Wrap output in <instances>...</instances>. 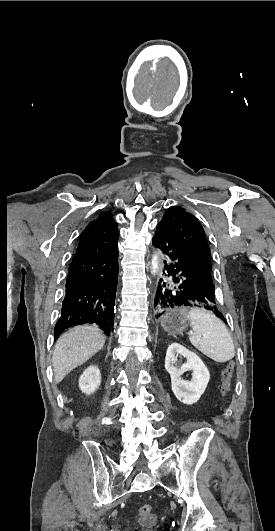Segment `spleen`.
Returning a JSON list of instances; mask_svg holds the SVG:
<instances>
[{
  "label": "spleen",
  "instance_id": "spleen-1",
  "mask_svg": "<svg viewBox=\"0 0 275 531\" xmlns=\"http://www.w3.org/2000/svg\"><path fill=\"white\" fill-rule=\"evenodd\" d=\"M192 333L189 341L216 363H226L235 355L232 337L223 321L205 309L188 311Z\"/></svg>",
  "mask_w": 275,
  "mask_h": 531
}]
</instances>
